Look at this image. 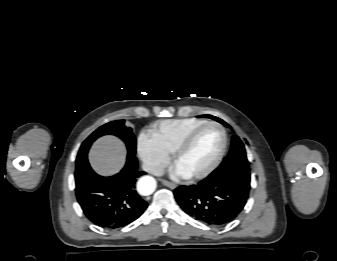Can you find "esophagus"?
Returning a JSON list of instances; mask_svg holds the SVG:
<instances>
[{
	"mask_svg": "<svg viewBox=\"0 0 337 261\" xmlns=\"http://www.w3.org/2000/svg\"><path fill=\"white\" fill-rule=\"evenodd\" d=\"M162 183H163L165 186L169 187L170 189H175V188L177 187L176 184H174V183H172V182H169V181H166V180H163Z\"/></svg>",
	"mask_w": 337,
	"mask_h": 261,
	"instance_id": "obj_1",
	"label": "esophagus"
}]
</instances>
